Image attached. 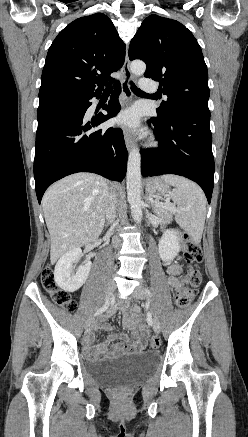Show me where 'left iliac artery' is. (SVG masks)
I'll list each match as a JSON object with an SVG mask.
<instances>
[{"label": "left iliac artery", "instance_id": "left-iliac-artery-1", "mask_svg": "<svg viewBox=\"0 0 248 437\" xmlns=\"http://www.w3.org/2000/svg\"><path fill=\"white\" fill-rule=\"evenodd\" d=\"M146 291L149 292V289L147 288ZM147 321L149 325L153 324L152 316L150 313H148Z\"/></svg>", "mask_w": 248, "mask_h": 437}]
</instances>
